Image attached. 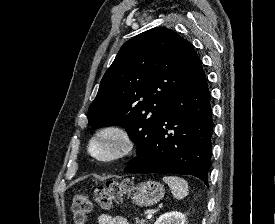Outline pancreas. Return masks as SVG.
Returning a JSON list of instances; mask_svg holds the SVG:
<instances>
[{
  "label": "pancreas",
  "instance_id": "cf45deb5",
  "mask_svg": "<svg viewBox=\"0 0 275 224\" xmlns=\"http://www.w3.org/2000/svg\"><path fill=\"white\" fill-rule=\"evenodd\" d=\"M135 221H136V224H148V221L145 219L136 218Z\"/></svg>",
  "mask_w": 275,
  "mask_h": 224
}]
</instances>
